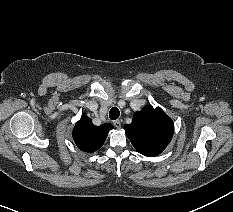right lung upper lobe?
<instances>
[{
  "mask_svg": "<svg viewBox=\"0 0 233 212\" xmlns=\"http://www.w3.org/2000/svg\"><path fill=\"white\" fill-rule=\"evenodd\" d=\"M111 129L113 126L110 123L95 126L91 119L84 115L73 129V139L79 149L92 153L103 145Z\"/></svg>",
  "mask_w": 233,
  "mask_h": 212,
  "instance_id": "cb5924a9",
  "label": "right lung upper lobe"
}]
</instances>
